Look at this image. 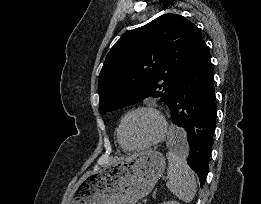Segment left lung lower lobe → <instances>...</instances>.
I'll return each mask as SVG.
<instances>
[{"label": "left lung lower lobe", "instance_id": "1", "mask_svg": "<svg viewBox=\"0 0 261 204\" xmlns=\"http://www.w3.org/2000/svg\"><path fill=\"white\" fill-rule=\"evenodd\" d=\"M210 56L201 33L196 37L181 72L169 109L176 142L188 154V165L201 186L208 173L217 107Z\"/></svg>", "mask_w": 261, "mask_h": 204}]
</instances>
